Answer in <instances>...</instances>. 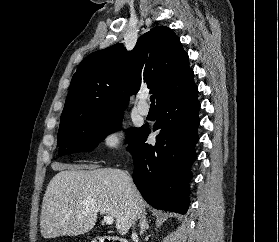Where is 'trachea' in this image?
Listing matches in <instances>:
<instances>
[{
    "instance_id": "1",
    "label": "trachea",
    "mask_w": 279,
    "mask_h": 242,
    "mask_svg": "<svg viewBox=\"0 0 279 242\" xmlns=\"http://www.w3.org/2000/svg\"><path fill=\"white\" fill-rule=\"evenodd\" d=\"M151 105H154L155 95L150 96Z\"/></svg>"
}]
</instances>
